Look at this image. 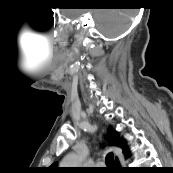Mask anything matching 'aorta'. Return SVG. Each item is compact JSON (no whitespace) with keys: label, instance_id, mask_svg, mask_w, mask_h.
Returning <instances> with one entry per match:
<instances>
[{"label":"aorta","instance_id":"aorta-1","mask_svg":"<svg viewBox=\"0 0 173 173\" xmlns=\"http://www.w3.org/2000/svg\"><path fill=\"white\" fill-rule=\"evenodd\" d=\"M79 163V159L76 156H69L63 162L64 165H75Z\"/></svg>","mask_w":173,"mask_h":173}]
</instances>
